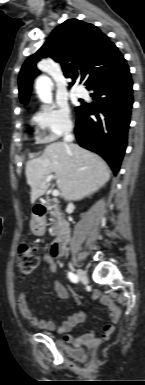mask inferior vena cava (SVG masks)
Instances as JSON below:
<instances>
[{
	"instance_id": "inferior-vena-cava-1",
	"label": "inferior vena cava",
	"mask_w": 145,
	"mask_h": 385,
	"mask_svg": "<svg viewBox=\"0 0 145 385\" xmlns=\"http://www.w3.org/2000/svg\"><path fill=\"white\" fill-rule=\"evenodd\" d=\"M71 131H72V129L69 128V129L66 131L65 135H64L63 140H64V143H65V144L71 143V142L74 140V136H73V134L71 133Z\"/></svg>"
}]
</instances>
